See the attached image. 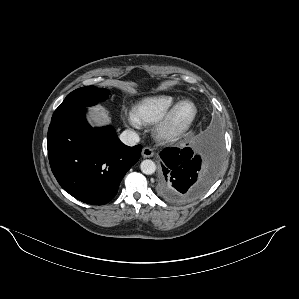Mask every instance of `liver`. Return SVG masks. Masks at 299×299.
Returning <instances> with one entry per match:
<instances>
[{
	"mask_svg": "<svg viewBox=\"0 0 299 299\" xmlns=\"http://www.w3.org/2000/svg\"><path fill=\"white\" fill-rule=\"evenodd\" d=\"M88 121L94 126H102L110 122V117L101 106L92 108L88 115Z\"/></svg>",
	"mask_w": 299,
	"mask_h": 299,
	"instance_id": "obj_1",
	"label": "liver"
}]
</instances>
